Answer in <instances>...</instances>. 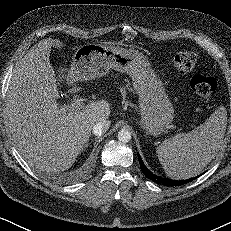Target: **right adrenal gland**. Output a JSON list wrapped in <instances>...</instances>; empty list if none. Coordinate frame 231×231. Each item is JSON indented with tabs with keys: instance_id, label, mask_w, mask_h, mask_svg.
<instances>
[{
	"instance_id": "1",
	"label": "right adrenal gland",
	"mask_w": 231,
	"mask_h": 231,
	"mask_svg": "<svg viewBox=\"0 0 231 231\" xmlns=\"http://www.w3.org/2000/svg\"><path fill=\"white\" fill-rule=\"evenodd\" d=\"M88 147V143H86L85 145H84V149L83 150H85L86 148Z\"/></svg>"
}]
</instances>
